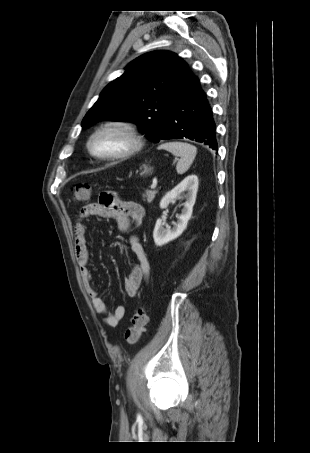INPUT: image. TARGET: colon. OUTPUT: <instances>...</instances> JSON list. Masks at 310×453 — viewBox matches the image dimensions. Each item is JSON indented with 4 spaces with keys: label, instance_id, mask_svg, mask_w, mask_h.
<instances>
[{
    "label": "colon",
    "instance_id": "1",
    "mask_svg": "<svg viewBox=\"0 0 310 453\" xmlns=\"http://www.w3.org/2000/svg\"><path fill=\"white\" fill-rule=\"evenodd\" d=\"M92 188L88 184L76 185L73 189V201L76 203L84 202L91 197ZM112 192L100 194L99 201L102 205H110L114 200ZM148 317L143 305H139L131 318V325L126 329L124 338L128 344L137 343L147 324Z\"/></svg>",
    "mask_w": 310,
    "mask_h": 453
}]
</instances>
